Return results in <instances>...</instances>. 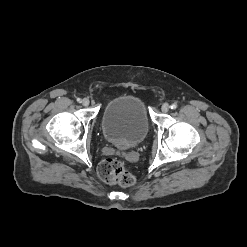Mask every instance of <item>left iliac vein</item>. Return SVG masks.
<instances>
[{"label": "left iliac vein", "mask_w": 247, "mask_h": 247, "mask_svg": "<svg viewBox=\"0 0 247 247\" xmlns=\"http://www.w3.org/2000/svg\"><path fill=\"white\" fill-rule=\"evenodd\" d=\"M169 109H170V106L167 103L163 104L161 107V110L163 113H167Z\"/></svg>", "instance_id": "obj_1"}]
</instances>
